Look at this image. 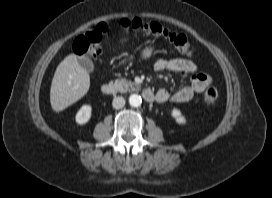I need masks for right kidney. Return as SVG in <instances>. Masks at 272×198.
Listing matches in <instances>:
<instances>
[{"label":"right kidney","mask_w":272,"mask_h":198,"mask_svg":"<svg viewBox=\"0 0 272 198\" xmlns=\"http://www.w3.org/2000/svg\"><path fill=\"white\" fill-rule=\"evenodd\" d=\"M91 114L92 107L90 105H83L76 114V122L79 125L86 124L90 120Z\"/></svg>","instance_id":"obj_1"}]
</instances>
